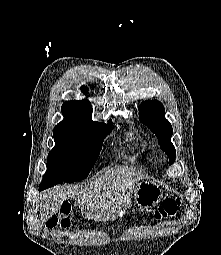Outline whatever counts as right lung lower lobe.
Masks as SVG:
<instances>
[{"mask_svg":"<svg viewBox=\"0 0 221 255\" xmlns=\"http://www.w3.org/2000/svg\"><path fill=\"white\" fill-rule=\"evenodd\" d=\"M46 188H49V187H46V186H40V187H39V190L41 191V190H44V189H46Z\"/></svg>","mask_w":221,"mask_h":255,"instance_id":"right-lung-lower-lobe-1","label":"right lung lower lobe"}]
</instances>
